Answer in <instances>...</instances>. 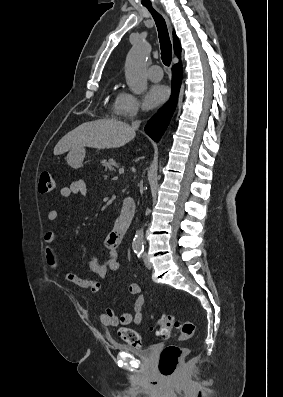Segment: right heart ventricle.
<instances>
[{"label":"right heart ventricle","mask_w":283,"mask_h":397,"mask_svg":"<svg viewBox=\"0 0 283 397\" xmlns=\"http://www.w3.org/2000/svg\"><path fill=\"white\" fill-rule=\"evenodd\" d=\"M118 96H119V94H117V95L115 96L114 105H115V103H116V101H117Z\"/></svg>","instance_id":"1"}]
</instances>
